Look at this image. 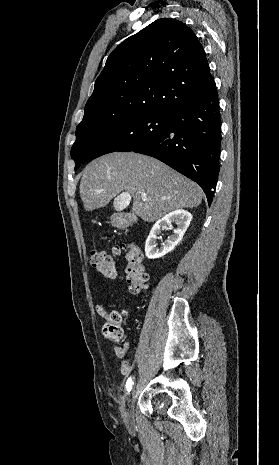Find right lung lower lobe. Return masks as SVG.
Returning a JSON list of instances; mask_svg holds the SVG:
<instances>
[{
  "label": "right lung lower lobe",
  "mask_w": 279,
  "mask_h": 465,
  "mask_svg": "<svg viewBox=\"0 0 279 465\" xmlns=\"http://www.w3.org/2000/svg\"><path fill=\"white\" fill-rule=\"evenodd\" d=\"M166 130L133 151L157 158L198 183L211 205L219 175L221 118L215 82L199 99L170 110Z\"/></svg>",
  "instance_id": "1"
}]
</instances>
